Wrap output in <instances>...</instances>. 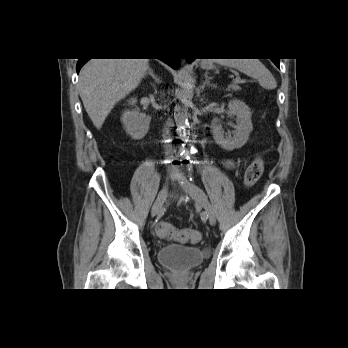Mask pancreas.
Masks as SVG:
<instances>
[{
  "label": "pancreas",
  "instance_id": "1",
  "mask_svg": "<svg viewBox=\"0 0 348 348\" xmlns=\"http://www.w3.org/2000/svg\"><path fill=\"white\" fill-rule=\"evenodd\" d=\"M239 83V82H238ZM228 91H238V90H240V87L237 85V83L236 82H234V84H231V85H229L228 86V89H227Z\"/></svg>",
  "mask_w": 348,
  "mask_h": 348
}]
</instances>
